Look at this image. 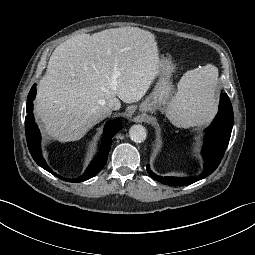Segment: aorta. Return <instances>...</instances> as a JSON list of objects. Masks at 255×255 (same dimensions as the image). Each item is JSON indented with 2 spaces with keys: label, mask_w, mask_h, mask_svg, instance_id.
I'll list each match as a JSON object with an SVG mask.
<instances>
[{
  "label": "aorta",
  "mask_w": 255,
  "mask_h": 255,
  "mask_svg": "<svg viewBox=\"0 0 255 255\" xmlns=\"http://www.w3.org/2000/svg\"><path fill=\"white\" fill-rule=\"evenodd\" d=\"M147 132L144 126L140 124L133 125L129 129V137L132 141L140 143L146 139Z\"/></svg>",
  "instance_id": "762f6f07"
}]
</instances>
